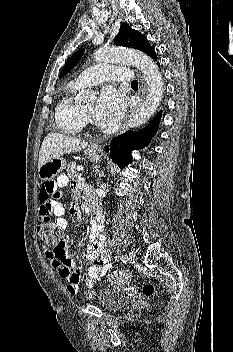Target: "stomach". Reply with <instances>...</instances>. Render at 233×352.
Here are the masks:
<instances>
[{"label":"stomach","mask_w":233,"mask_h":352,"mask_svg":"<svg viewBox=\"0 0 233 352\" xmlns=\"http://www.w3.org/2000/svg\"><path fill=\"white\" fill-rule=\"evenodd\" d=\"M88 158L97 162L102 156V151L94 148H89L86 152ZM66 167V161L61 158H53L45 162L38 170V175L41 180L49 181L53 180L64 168Z\"/></svg>","instance_id":"1"}]
</instances>
